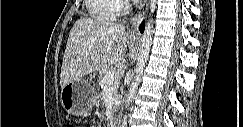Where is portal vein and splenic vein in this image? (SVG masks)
<instances>
[{
  "label": "portal vein and splenic vein",
  "instance_id": "portal-vein-and-splenic-vein-1",
  "mask_svg": "<svg viewBox=\"0 0 243 127\" xmlns=\"http://www.w3.org/2000/svg\"><path fill=\"white\" fill-rule=\"evenodd\" d=\"M118 74L119 72L115 70L114 72H111L108 75H106L102 82V88L110 86L114 82Z\"/></svg>",
  "mask_w": 243,
  "mask_h": 127
}]
</instances>
